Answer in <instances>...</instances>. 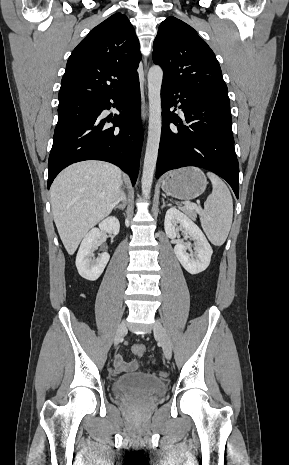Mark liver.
<instances>
[{
	"label": "liver",
	"mask_w": 289,
	"mask_h": 465,
	"mask_svg": "<svg viewBox=\"0 0 289 465\" xmlns=\"http://www.w3.org/2000/svg\"><path fill=\"white\" fill-rule=\"evenodd\" d=\"M123 177L115 165L92 160L70 165L56 177L51 208L68 254H74L85 234L112 212Z\"/></svg>",
	"instance_id": "obj_1"
}]
</instances>
